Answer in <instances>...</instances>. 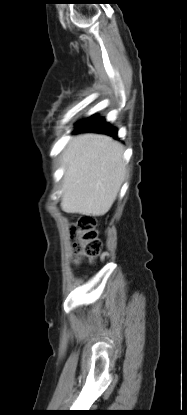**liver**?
Listing matches in <instances>:
<instances>
[{"mask_svg":"<svg viewBox=\"0 0 187 415\" xmlns=\"http://www.w3.org/2000/svg\"><path fill=\"white\" fill-rule=\"evenodd\" d=\"M123 153L122 145L106 135L72 137L62 155V210L86 216L106 214L125 178Z\"/></svg>","mask_w":187,"mask_h":415,"instance_id":"6515ba94","label":"liver"}]
</instances>
